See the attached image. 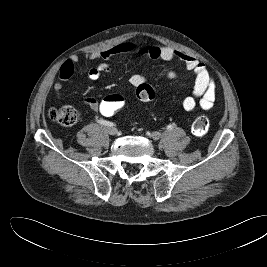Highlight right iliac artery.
<instances>
[{
    "label": "right iliac artery",
    "instance_id": "1",
    "mask_svg": "<svg viewBox=\"0 0 267 267\" xmlns=\"http://www.w3.org/2000/svg\"><path fill=\"white\" fill-rule=\"evenodd\" d=\"M97 122L101 125H104V126H115L114 123L110 122V121H106V120H103V119H100V120H97Z\"/></svg>",
    "mask_w": 267,
    "mask_h": 267
}]
</instances>
